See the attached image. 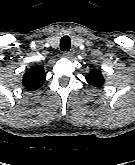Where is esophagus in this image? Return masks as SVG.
Returning a JSON list of instances; mask_svg holds the SVG:
<instances>
[{
  "label": "esophagus",
  "instance_id": "1",
  "mask_svg": "<svg viewBox=\"0 0 135 165\" xmlns=\"http://www.w3.org/2000/svg\"><path fill=\"white\" fill-rule=\"evenodd\" d=\"M74 52L73 51H64L62 56L65 58H71L73 56Z\"/></svg>",
  "mask_w": 135,
  "mask_h": 165
}]
</instances>
